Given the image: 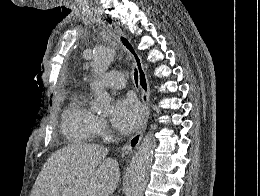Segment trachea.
<instances>
[{"label": "trachea", "mask_w": 260, "mask_h": 196, "mask_svg": "<svg viewBox=\"0 0 260 196\" xmlns=\"http://www.w3.org/2000/svg\"><path fill=\"white\" fill-rule=\"evenodd\" d=\"M134 79H135L136 86H138V72L136 70L134 73Z\"/></svg>", "instance_id": "3493384b"}]
</instances>
